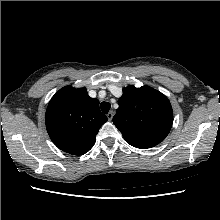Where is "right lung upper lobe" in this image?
I'll list each match as a JSON object with an SVG mask.
<instances>
[{
  "mask_svg": "<svg viewBox=\"0 0 220 220\" xmlns=\"http://www.w3.org/2000/svg\"><path fill=\"white\" fill-rule=\"evenodd\" d=\"M108 120L99 101L89 97L86 88L66 86L50 100L45 116L47 132L62 151L73 155L88 152L100 127Z\"/></svg>",
  "mask_w": 220,
  "mask_h": 220,
  "instance_id": "obj_1",
  "label": "right lung upper lobe"
}]
</instances>
